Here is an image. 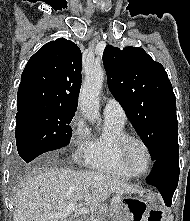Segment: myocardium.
<instances>
[{"instance_id": "1", "label": "myocardium", "mask_w": 190, "mask_h": 221, "mask_svg": "<svg viewBox=\"0 0 190 221\" xmlns=\"http://www.w3.org/2000/svg\"><path fill=\"white\" fill-rule=\"evenodd\" d=\"M131 142L139 143L147 153L148 164L144 171L140 172V171L135 170L128 160L127 151H128V146ZM118 156L124 168L128 170L130 173H132L134 176H143L147 174L149 170L151 169V166L153 163V155H152V151L149 145L143 138L137 135L126 134L120 139L119 144H118Z\"/></svg>"}]
</instances>
